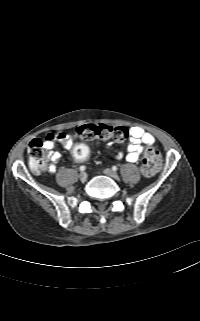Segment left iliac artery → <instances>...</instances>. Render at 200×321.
<instances>
[{"label":"left iliac artery","instance_id":"left-iliac-artery-1","mask_svg":"<svg viewBox=\"0 0 200 321\" xmlns=\"http://www.w3.org/2000/svg\"><path fill=\"white\" fill-rule=\"evenodd\" d=\"M112 169L116 171L118 168L116 166H113Z\"/></svg>","mask_w":200,"mask_h":321}]
</instances>
